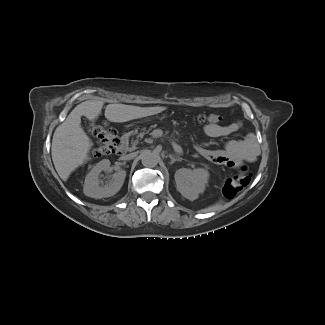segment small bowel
I'll return each instance as SVG.
<instances>
[{
  "mask_svg": "<svg viewBox=\"0 0 325 325\" xmlns=\"http://www.w3.org/2000/svg\"><path fill=\"white\" fill-rule=\"evenodd\" d=\"M203 132L212 138L227 137L235 134L240 128L239 121L223 125L220 122L213 123L209 120L204 121ZM199 153L209 161L218 165H231L239 161H251L255 158V152L248 147L242 140H229L222 150H208L198 148Z\"/></svg>",
  "mask_w": 325,
  "mask_h": 325,
  "instance_id": "1",
  "label": "small bowel"
}]
</instances>
